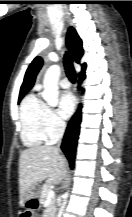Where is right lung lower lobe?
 Here are the masks:
<instances>
[{
	"label": "right lung lower lobe",
	"mask_w": 132,
	"mask_h": 217,
	"mask_svg": "<svg viewBox=\"0 0 132 217\" xmlns=\"http://www.w3.org/2000/svg\"><path fill=\"white\" fill-rule=\"evenodd\" d=\"M80 122H81V111L79 107L78 111L72 117L71 121L68 124L61 146L63 152L65 153L66 157L69 160L71 168H73L74 165V158H75V151H76L77 139L79 134Z\"/></svg>",
	"instance_id": "1"
}]
</instances>
